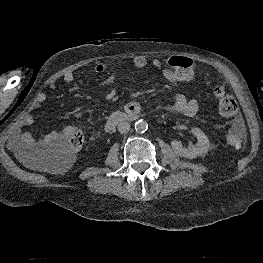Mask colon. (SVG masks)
<instances>
[{
  "label": "colon",
  "instance_id": "5ec220e1",
  "mask_svg": "<svg viewBox=\"0 0 263 263\" xmlns=\"http://www.w3.org/2000/svg\"><path fill=\"white\" fill-rule=\"evenodd\" d=\"M168 65L179 81L190 82L195 77L193 62L188 58L172 57L169 59ZM201 82L212 92L221 114L227 119L232 118L236 111L235 101L224 92L222 87L214 82L210 75L201 77ZM244 139L245 134L241 128H231L225 133L226 143L233 148H240L244 143ZM84 141L83 132L74 130L65 144L52 151L51 158L57 164L71 162L81 152Z\"/></svg>",
  "mask_w": 263,
  "mask_h": 263
}]
</instances>
